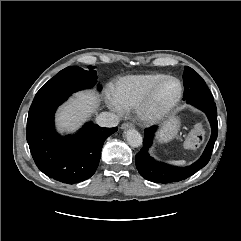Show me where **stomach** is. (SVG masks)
I'll return each instance as SVG.
<instances>
[{"mask_svg": "<svg viewBox=\"0 0 241 241\" xmlns=\"http://www.w3.org/2000/svg\"><path fill=\"white\" fill-rule=\"evenodd\" d=\"M180 127V121L177 117L172 116L166 121L158 133L159 142H168L176 137Z\"/></svg>", "mask_w": 241, "mask_h": 241, "instance_id": "1", "label": "stomach"}]
</instances>
